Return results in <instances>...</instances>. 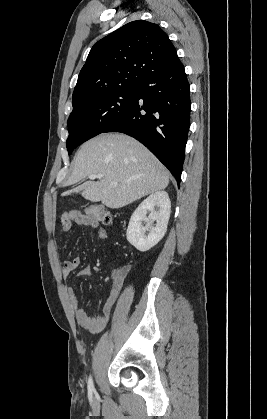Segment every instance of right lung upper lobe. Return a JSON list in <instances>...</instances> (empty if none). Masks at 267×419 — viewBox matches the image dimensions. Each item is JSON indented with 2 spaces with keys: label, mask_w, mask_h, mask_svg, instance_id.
I'll return each instance as SVG.
<instances>
[{
  "label": "right lung upper lobe",
  "mask_w": 267,
  "mask_h": 419,
  "mask_svg": "<svg viewBox=\"0 0 267 419\" xmlns=\"http://www.w3.org/2000/svg\"><path fill=\"white\" fill-rule=\"evenodd\" d=\"M177 61L175 47L157 24L130 22L92 47L79 73L73 104L101 92L139 87L148 76Z\"/></svg>",
  "instance_id": "right-lung-upper-lobe-1"
}]
</instances>
